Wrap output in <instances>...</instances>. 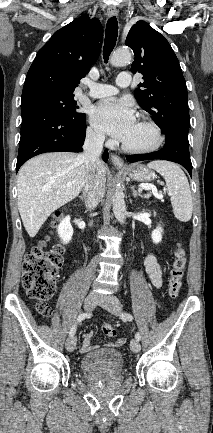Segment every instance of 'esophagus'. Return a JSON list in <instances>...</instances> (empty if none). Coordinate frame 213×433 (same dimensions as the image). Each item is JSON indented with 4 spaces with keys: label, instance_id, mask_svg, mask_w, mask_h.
<instances>
[{
    "label": "esophagus",
    "instance_id": "esophagus-1",
    "mask_svg": "<svg viewBox=\"0 0 213 433\" xmlns=\"http://www.w3.org/2000/svg\"><path fill=\"white\" fill-rule=\"evenodd\" d=\"M117 14H118V10L115 7H108V9H107V15L109 17L116 16ZM111 161H112V163L116 167L120 168V167H124L125 166L123 159L120 156L116 155V154H112L111 155Z\"/></svg>",
    "mask_w": 213,
    "mask_h": 433
}]
</instances>
